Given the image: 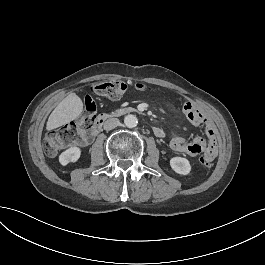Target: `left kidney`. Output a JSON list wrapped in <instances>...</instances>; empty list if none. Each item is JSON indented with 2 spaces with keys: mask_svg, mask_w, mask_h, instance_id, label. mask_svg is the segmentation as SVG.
<instances>
[{
  "mask_svg": "<svg viewBox=\"0 0 265 265\" xmlns=\"http://www.w3.org/2000/svg\"><path fill=\"white\" fill-rule=\"evenodd\" d=\"M169 164L178 175L187 176L191 172V163L185 157L174 156L170 159Z\"/></svg>",
  "mask_w": 265,
  "mask_h": 265,
  "instance_id": "left-kidney-1",
  "label": "left kidney"
}]
</instances>
